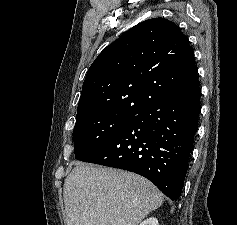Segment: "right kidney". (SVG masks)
I'll use <instances>...</instances> for the list:
<instances>
[{
	"instance_id": "obj_1",
	"label": "right kidney",
	"mask_w": 237,
	"mask_h": 225,
	"mask_svg": "<svg viewBox=\"0 0 237 225\" xmlns=\"http://www.w3.org/2000/svg\"><path fill=\"white\" fill-rule=\"evenodd\" d=\"M140 225H159L156 218L150 217L140 223Z\"/></svg>"
}]
</instances>
